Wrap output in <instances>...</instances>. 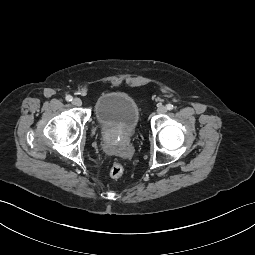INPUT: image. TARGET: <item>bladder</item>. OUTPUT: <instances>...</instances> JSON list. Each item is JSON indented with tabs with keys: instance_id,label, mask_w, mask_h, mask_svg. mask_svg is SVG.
I'll use <instances>...</instances> for the list:
<instances>
[{
	"instance_id": "31cf9c89",
	"label": "bladder",
	"mask_w": 255,
	"mask_h": 255,
	"mask_svg": "<svg viewBox=\"0 0 255 255\" xmlns=\"http://www.w3.org/2000/svg\"><path fill=\"white\" fill-rule=\"evenodd\" d=\"M94 115L97 123L104 129L130 134L137 128L141 112L131 95L114 91L98 99Z\"/></svg>"
}]
</instances>
